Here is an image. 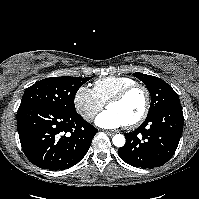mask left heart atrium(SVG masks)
<instances>
[{
	"label": "left heart atrium",
	"instance_id": "left-heart-atrium-1",
	"mask_svg": "<svg viewBox=\"0 0 199 199\" xmlns=\"http://www.w3.org/2000/svg\"><path fill=\"white\" fill-rule=\"evenodd\" d=\"M95 123L101 128L109 129L118 128L125 125L120 116L111 110H106L98 115Z\"/></svg>",
	"mask_w": 199,
	"mask_h": 199
}]
</instances>
